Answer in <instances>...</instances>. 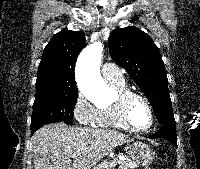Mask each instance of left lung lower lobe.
<instances>
[{
  "label": "left lung lower lobe",
  "mask_w": 200,
  "mask_h": 169,
  "mask_svg": "<svg viewBox=\"0 0 200 169\" xmlns=\"http://www.w3.org/2000/svg\"><path fill=\"white\" fill-rule=\"evenodd\" d=\"M149 138H163L167 139L173 143V145L177 146L176 143V130L175 125L171 124H162L161 128Z\"/></svg>",
  "instance_id": "left-lung-lower-lobe-1"
}]
</instances>
